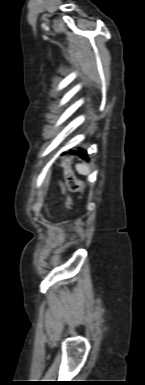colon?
<instances>
[{
  "label": "colon",
  "mask_w": 145,
  "mask_h": 385,
  "mask_svg": "<svg viewBox=\"0 0 145 385\" xmlns=\"http://www.w3.org/2000/svg\"><path fill=\"white\" fill-rule=\"evenodd\" d=\"M63 169H64L63 180H59L58 183L61 188V192L64 196L66 207L70 208L72 205V199L70 195L67 193V190L71 192H77V193L83 194L85 190V185L83 181L78 179L73 173L68 159L64 160Z\"/></svg>",
  "instance_id": "1"
}]
</instances>
